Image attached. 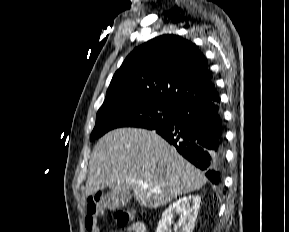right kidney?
<instances>
[{"label": "right kidney", "mask_w": 289, "mask_h": 232, "mask_svg": "<svg viewBox=\"0 0 289 232\" xmlns=\"http://www.w3.org/2000/svg\"><path fill=\"white\" fill-rule=\"evenodd\" d=\"M200 203L201 197L199 195H189L180 198L165 209L156 232H171L170 226L173 223L174 215H179V221L176 226L179 228V232H192Z\"/></svg>", "instance_id": "obj_1"}]
</instances>
